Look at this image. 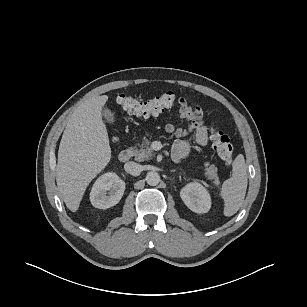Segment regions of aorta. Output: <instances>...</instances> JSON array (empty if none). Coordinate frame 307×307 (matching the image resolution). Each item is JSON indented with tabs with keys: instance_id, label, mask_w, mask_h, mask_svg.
I'll return each instance as SVG.
<instances>
[{
	"instance_id": "aorta-1",
	"label": "aorta",
	"mask_w": 307,
	"mask_h": 307,
	"mask_svg": "<svg viewBox=\"0 0 307 307\" xmlns=\"http://www.w3.org/2000/svg\"><path fill=\"white\" fill-rule=\"evenodd\" d=\"M146 182L150 186H155L160 182V175L157 172L150 171L146 174Z\"/></svg>"
}]
</instances>
